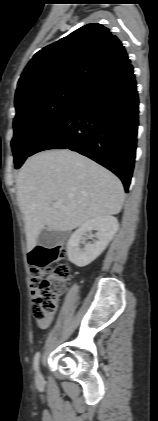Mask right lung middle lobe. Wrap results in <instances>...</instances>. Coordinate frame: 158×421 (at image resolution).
<instances>
[{"label": "right lung middle lobe", "instance_id": "1", "mask_svg": "<svg viewBox=\"0 0 158 421\" xmlns=\"http://www.w3.org/2000/svg\"><path fill=\"white\" fill-rule=\"evenodd\" d=\"M84 85H65L29 95L15 103L11 147L15 168L31 155L35 145L66 113Z\"/></svg>", "mask_w": 158, "mask_h": 421}]
</instances>
